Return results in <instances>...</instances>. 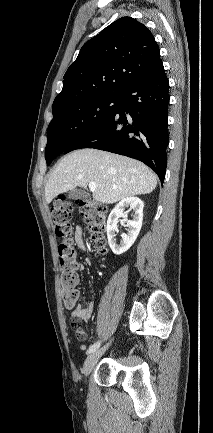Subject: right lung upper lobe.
<instances>
[{
	"instance_id": "right-lung-upper-lobe-1",
	"label": "right lung upper lobe",
	"mask_w": 213,
	"mask_h": 433,
	"mask_svg": "<svg viewBox=\"0 0 213 433\" xmlns=\"http://www.w3.org/2000/svg\"><path fill=\"white\" fill-rule=\"evenodd\" d=\"M160 58L151 31L131 17H122L81 48L63 77L52 112L98 95H122Z\"/></svg>"
}]
</instances>
